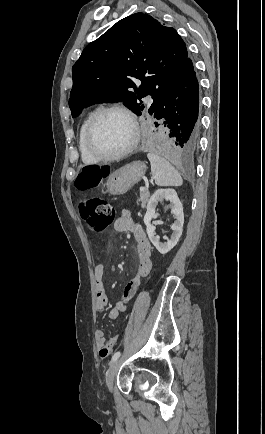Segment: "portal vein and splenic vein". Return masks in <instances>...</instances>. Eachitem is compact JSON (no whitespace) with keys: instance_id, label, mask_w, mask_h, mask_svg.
I'll use <instances>...</instances> for the list:
<instances>
[{"instance_id":"18ae733b","label":"portal vein and splenic vein","mask_w":265,"mask_h":434,"mask_svg":"<svg viewBox=\"0 0 265 434\" xmlns=\"http://www.w3.org/2000/svg\"><path fill=\"white\" fill-rule=\"evenodd\" d=\"M145 188H140V192H144Z\"/></svg>"}]
</instances>
